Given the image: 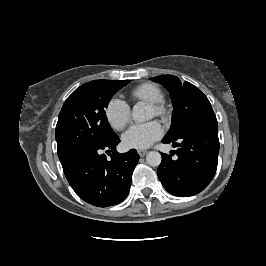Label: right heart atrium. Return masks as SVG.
<instances>
[{"label":"right heart atrium","mask_w":266,"mask_h":266,"mask_svg":"<svg viewBox=\"0 0 266 266\" xmlns=\"http://www.w3.org/2000/svg\"><path fill=\"white\" fill-rule=\"evenodd\" d=\"M105 114L110 125L116 130H122L125 128L131 119L129 105L117 97H114L109 101Z\"/></svg>","instance_id":"1"}]
</instances>
